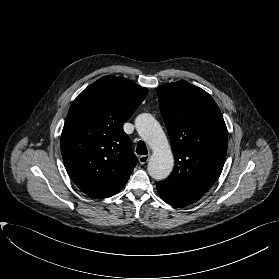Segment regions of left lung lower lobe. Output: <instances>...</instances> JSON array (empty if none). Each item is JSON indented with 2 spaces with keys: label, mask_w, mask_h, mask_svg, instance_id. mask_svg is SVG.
I'll list each match as a JSON object with an SVG mask.
<instances>
[{
  "label": "left lung lower lobe",
  "mask_w": 279,
  "mask_h": 279,
  "mask_svg": "<svg viewBox=\"0 0 279 279\" xmlns=\"http://www.w3.org/2000/svg\"><path fill=\"white\" fill-rule=\"evenodd\" d=\"M157 190L164 202L176 207L190 205L201 198L199 195L174 188L164 181L157 183Z\"/></svg>",
  "instance_id": "left-lung-lower-lobe-1"
}]
</instances>
